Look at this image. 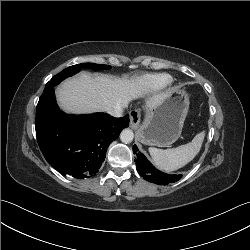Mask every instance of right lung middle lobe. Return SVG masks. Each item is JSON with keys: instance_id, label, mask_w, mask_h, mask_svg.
Here are the masks:
<instances>
[{"instance_id": "right-lung-middle-lobe-1", "label": "right lung middle lobe", "mask_w": 250, "mask_h": 250, "mask_svg": "<svg viewBox=\"0 0 250 250\" xmlns=\"http://www.w3.org/2000/svg\"><path fill=\"white\" fill-rule=\"evenodd\" d=\"M82 67L92 68V69H95V70L109 69L110 68L109 65L93 64V63H82V64L73 65V66H70V67L64 69L63 71H61L57 75H55L46 84V87H45L44 90L49 89V88H53L54 86H56L57 84H59L65 78L78 73Z\"/></svg>"}]
</instances>
